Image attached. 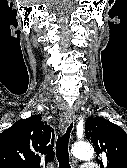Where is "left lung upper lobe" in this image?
<instances>
[{
  "mask_svg": "<svg viewBox=\"0 0 127 168\" xmlns=\"http://www.w3.org/2000/svg\"><path fill=\"white\" fill-rule=\"evenodd\" d=\"M85 135L95 146L101 168H127V135L121 127L102 117H90Z\"/></svg>",
  "mask_w": 127,
  "mask_h": 168,
  "instance_id": "5c2ea615",
  "label": "left lung upper lobe"
}]
</instances>
